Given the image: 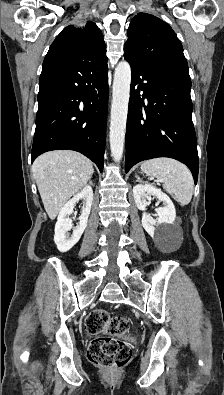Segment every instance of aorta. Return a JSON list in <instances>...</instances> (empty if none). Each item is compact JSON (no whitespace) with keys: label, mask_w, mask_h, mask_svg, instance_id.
<instances>
[{"label":"aorta","mask_w":224,"mask_h":395,"mask_svg":"<svg viewBox=\"0 0 224 395\" xmlns=\"http://www.w3.org/2000/svg\"><path fill=\"white\" fill-rule=\"evenodd\" d=\"M130 84V65L121 61L114 73L109 133L110 149L115 162H119L123 156Z\"/></svg>","instance_id":"1"}]
</instances>
